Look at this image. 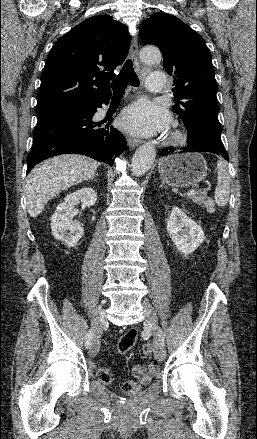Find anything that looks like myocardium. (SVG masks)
<instances>
[{
    "mask_svg": "<svg viewBox=\"0 0 257 439\" xmlns=\"http://www.w3.org/2000/svg\"><path fill=\"white\" fill-rule=\"evenodd\" d=\"M186 140V133L181 129H175L167 138V143L170 145H179Z\"/></svg>",
    "mask_w": 257,
    "mask_h": 439,
    "instance_id": "obj_1",
    "label": "myocardium"
}]
</instances>
